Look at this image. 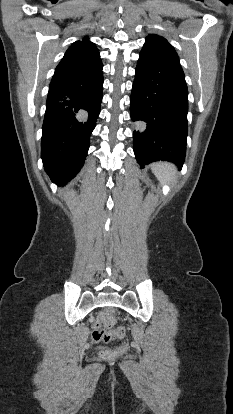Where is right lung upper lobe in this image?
<instances>
[{
	"label": "right lung upper lobe",
	"mask_w": 233,
	"mask_h": 414,
	"mask_svg": "<svg viewBox=\"0 0 233 414\" xmlns=\"http://www.w3.org/2000/svg\"><path fill=\"white\" fill-rule=\"evenodd\" d=\"M102 66L94 43L84 38L74 42L55 69L57 75H77L94 71Z\"/></svg>",
	"instance_id": "right-lung-upper-lobe-1"
}]
</instances>
